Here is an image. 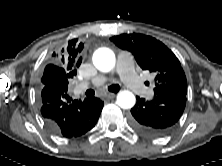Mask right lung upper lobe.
Returning a JSON list of instances; mask_svg holds the SVG:
<instances>
[{"mask_svg": "<svg viewBox=\"0 0 222 166\" xmlns=\"http://www.w3.org/2000/svg\"><path fill=\"white\" fill-rule=\"evenodd\" d=\"M84 47L78 39H72L59 47L52 54V63L45 67L41 82L43 86H51L67 92L68 80L76 76L77 67L81 64L80 53Z\"/></svg>", "mask_w": 222, "mask_h": 166, "instance_id": "obj_1", "label": "right lung upper lobe"}]
</instances>
